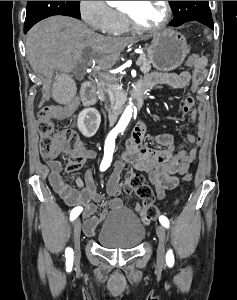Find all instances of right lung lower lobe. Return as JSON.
<instances>
[{"mask_svg": "<svg viewBox=\"0 0 237 300\" xmlns=\"http://www.w3.org/2000/svg\"><path fill=\"white\" fill-rule=\"evenodd\" d=\"M31 25H24V33H27V31L31 28Z\"/></svg>", "mask_w": 237, "mask_h": 300, "instance_id": "right-lung-lower-lobe-1", "label": "right lung lower lobe"}]
</instances>
